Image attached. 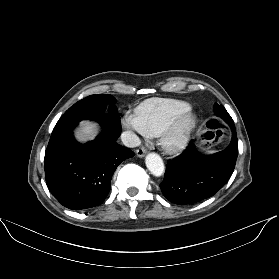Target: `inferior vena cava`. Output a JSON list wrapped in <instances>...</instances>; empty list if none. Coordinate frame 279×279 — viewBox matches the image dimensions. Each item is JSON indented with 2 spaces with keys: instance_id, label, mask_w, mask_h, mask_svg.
<instances>
[{
  "instance_id": "inferior-vena-cava-1",
  "label": "inferior vena cava",
  "mask_w": 279,
  "mask_h": 279,
  "mask_svg": "<svg viewBox=\"0 0 279 279\" xmlns=\"http://www.w3.org/2000/svg\"><path fill=\"white\" fill-rule=\"evenodd\" d=\"M121 140L126 147L134 148L141 144L139 137L131 131H125L121 134Z\"/></svg>"
}]
</instances>
